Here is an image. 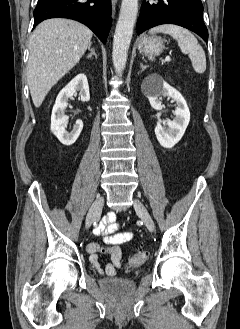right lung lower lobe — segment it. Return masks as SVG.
<instances>
[{"label": "right lung lower lobe", "instance_id": "1", "mask_svg": "<svg viewBox=\"0 0 240 329\" xmlns=\"http://www.w3.org/2000/svg\"><path fill=\"white\" fill-rule=\"evenodd\" d=\"M34 27L50 18H68L88 26L105 44L111 27V0H38Z\"/></svg>", "mask_w": 240, "mask_h": 329}]
</instances>
